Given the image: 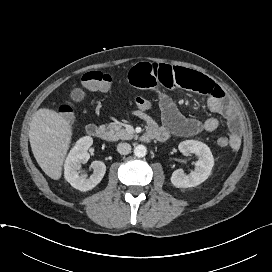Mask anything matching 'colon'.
<instances>
[{"label":"colon","mask_w":272,"mask_h":272,"mask_svg":"<svg viewBox=\"0 0 272 272\" xmlns=\"http://www.w3.org/2000/svg\"><path fill=\"white\" fill-rule=\"evenodd\" d=\"M111 81L110 75L100 71H89L85 73L81 79L83 87L90 92L107 91L111 86ZM135 105L138 109L144 111L152 108L151 101L143 97L136 98ZM60 113L68 121H72L74 118V111L68 104H64L60 107ZM217 144L219 147L225 148L229 146V140L225 136H220L217 139Z\"/></svg>","instance_id":"5ec220e1"}]
</instances>
